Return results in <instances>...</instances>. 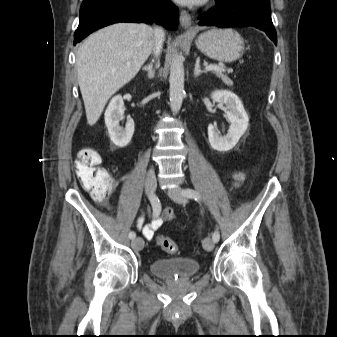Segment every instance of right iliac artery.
Returning a JSON list of instances; mask_svg holds the SVG:
<instances>
[{
  "instance_id": "1",
  "label": "right iliac artery",
  "mask_w": 337,
  "mask_h": 337,
  "mask_svg": "<svg viewBox=\"0 0 337 337\" xmlns=\"http://www.w3.org/2000/svg\"><path fill=\"white\" fill-rule=\"evenodd\" d=\"M150 202L153 208V215H158L159 212L161 211V203L160 200L158 199V197H156L155 195L150 197ZM136 237V234L134 231H131L129 233V238L130 239H134Z\"/></svg>"
}]
</instances>
